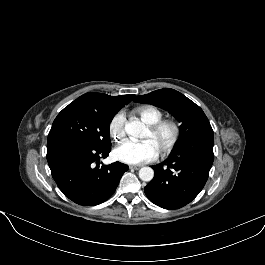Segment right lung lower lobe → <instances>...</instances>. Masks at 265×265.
Masks as SVG:
<instances>
[{"instance_id": "98d812e1", "label": "right lung lower lobe", "mask_w": 265, "mask_h": 265, "mask_svg": "<svg viewBox=\"0 0 265 265\" xmlns=\"http://www.w3.org/2000/svg\"><path fill=\"white\" fill-rule=\"evenodd\" d=\"M111 147L97 148L70 137L47 142V161L58 188L73 202L94 206L106 201L116 190L128 166L115 162L100 165Z\"/></svg>"}]
</instances>
